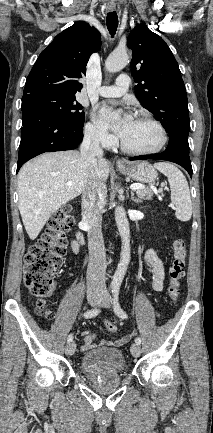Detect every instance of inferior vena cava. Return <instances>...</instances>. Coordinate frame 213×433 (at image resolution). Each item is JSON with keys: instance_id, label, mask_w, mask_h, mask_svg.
I'll return each instance as SVG.
<instances>
[{"instance_id": "inferior-vena-cava-1", "label": "inferior vena cava", "mask_w": 213, "mask_h": 433, "mask_svg": "<svg viewBox=\"0 0 213 433\" xmlns=\"http://www.w3.org/2000/svg\"><path fill=\"white\" fill-rule=\"evenodd\" d=\"M100 139L101 136L97 133L85 132L80 147V153L89 159L92 171L88 186L82 194V216L84 223L88 227V292L106 291L105 274L107 263L101 230V211L106 202L107 189L104 182L94 174L98 160L103 156Z\"/></svg>"}]
</instances>
